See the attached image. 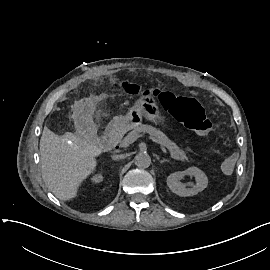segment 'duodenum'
<instances>
[{
  "mask_svg": "<svg viewBox=\"0 0 270 270\" xmlns=\"http://www.w3.org/2000/svg\"><path fill=\"white\" fill-rule=\"evenodd\" d=\"M126 123L123 120L112 122L105 133L104 141L107 146L114 148L118 145L125 132Z\"/></svg>",
  "mask_w": 270,
  "mask_h": 270,
  "instance_id": "duodenum-1",
  "label": "duodenum"
}]
</instances>
